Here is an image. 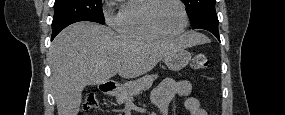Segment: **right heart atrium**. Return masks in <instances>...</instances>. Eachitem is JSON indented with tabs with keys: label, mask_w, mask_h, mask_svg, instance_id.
Masks as SVG:
<instances>
[{
	"label": "right heart atrium",
	"mask_w": 285,
	"mask_h": 115,
	"mask_svg": "<svg viewBox=\"0 0 285 115\" xmlns=\"http://www.w3.org/2000/svg\"><path fill=\"white\" fill-rule=\"evenodd\" d=\"M111 5L112 2H108V8L105 10V17L111 24H115V18L111 14Z\"/></svg>",
	"instance_id": "1"
}]
</instances>
